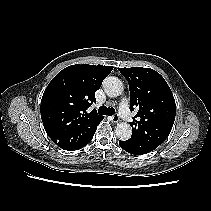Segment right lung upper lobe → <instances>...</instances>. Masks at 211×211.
<instances>
[{
    "instance_id": "cb5924a9",
    "label": "right lung upper lobe",
    "mask_w": 211,
    "mask_h": 211,
    "mask_svg": "<svg viewBox=\"0 0 211 211\" xmlns=\"http://www.w3.org/2000/svg\"><path fill=\"white\" fill-rule=\"evenodd\" d=\"M112 66L71 65L49 83L41 100V118L46 133L60 148H82L103 116L87 109L96 102L95 92Z\"/></svg>"
}]
</instances>
